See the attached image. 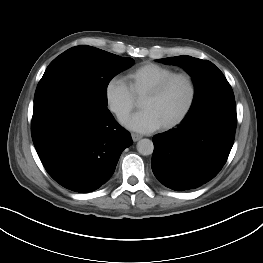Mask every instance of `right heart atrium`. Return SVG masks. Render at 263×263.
I'll use <instances>...</instances> for the list:
<instances>
[{
  "mask_svg": "<svg viewBox=\"0 0 263 263\" xmlns=\"http://www.w3.org/2000/svg\"><path fill=\"white\" fill-rule=\"evenodd\" d=\"M107 109L118 121L124 120L135 106V98L126 83L119 77H111L104 86Z\"/></svg>",
  "mask_w": 263,
  "mask_h": 263,
  "instance_id": "obj_1",
  "label": "right heart atrium"
}]
</instances>
